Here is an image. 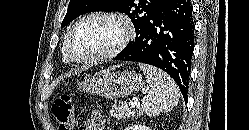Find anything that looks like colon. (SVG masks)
Listing matches in <instances>:
<instances>
[{
  "mask_svg": "<svg viewBox=\"0 0 249 130\" xmlns=\"http://www.w3.org/2000/svg\"><path fill=\"white\" fill-rule=\"evenodd\" d=\"M52 113L58 124L59 130H74V106L69 95H62L52 105Z\"/></svg>",
  "mask_w": 249,
  "mask_h": 130,
  "instance_id": "colon-1",
  "label": "colon"
}]
</instances>
